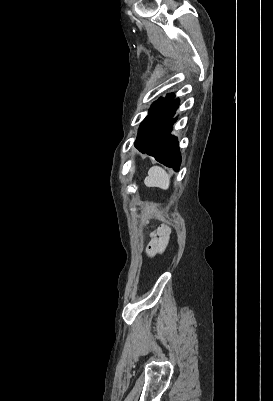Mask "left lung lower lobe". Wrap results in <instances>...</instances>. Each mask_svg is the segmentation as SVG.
<instances>
[{"instance_id":"obj_1","label":"left lung lower lobe","mask_w":273,"mask_h":401,"mask_svg":"<svg viewBox=\"0 0 273 401\" xmlns=\"http://www.w3.org/2000/svg\"><path fill=\"white\" fill-rule=\"evenodd\" d=\"M178 101L174 94H167L166 98H159L149 110L148 116L138 129L135 147L142 153L153 156L158 162L179 170L181 156L178 140L170 135L176 118L173 119Z\"/></svg>"}]
</instances>
